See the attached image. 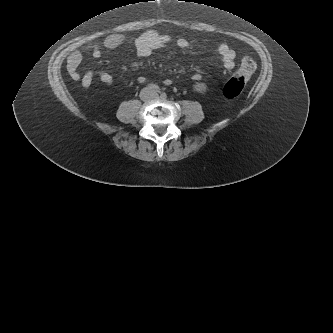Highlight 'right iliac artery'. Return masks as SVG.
I'll list each match as a JSON object with an SVG mask.
<instances>
[{"instance_id": "82829eb1", "label": "right iliac artery", "mask_w": 333, "mask_h": 333, "mask_svg": "<svg viewBox=\"0 0 333 333\" xmlns=\"http://www.w3.org/2000/svg\"><path fill=\"white\" fill-rule=\"evenodd\" d=\"M148 91L154 92V93H159L160 89L157 85L155 84H150L148 85V87L146 88Z\"/></svg>"}]
</instances>
